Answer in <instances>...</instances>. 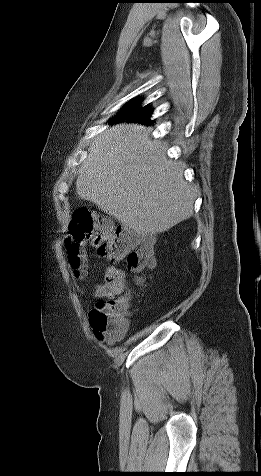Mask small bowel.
Masks as SVG:
<instances>
[{
    "instance_id": "obj_1",
    "label": "small bowel",
    "mask_w": 261,
    "mask_h": 476,
    "mask_svg": "<svg viewBox=\"0 0 261 476\" xmlns=\"http://www.w3.org/2000/svg\"><path fill=\"white\" fill-rule=\"evenodd\" d=\"M128 284L126 273L117 267L110 266L105 270L103 281L98 283L94 289V297L108 298L127 293ZM129 305V300L127 301Z\"/></svg>"
}]
</instances>
